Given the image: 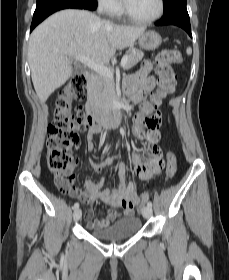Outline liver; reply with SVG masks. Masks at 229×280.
I'll return each instance as SVG.
<instances>
[{"label":"liver","mask_w":229,"mask_h":280,"mask_svg":"<svg viewBox=\"0 0 229 280\" xmlns=\"http://www.w3.org/2000/svg\"><path fill=\"white\" fill-rule=\"evenodd\" d=\"M145 31L101 20L84 10L59 11L31 34L28 61L34 89L41 103L72 75L71 58L87 56L107 63L116 50L132 45Z\"/></svg>","instance_id":"1"}]
</instances>
